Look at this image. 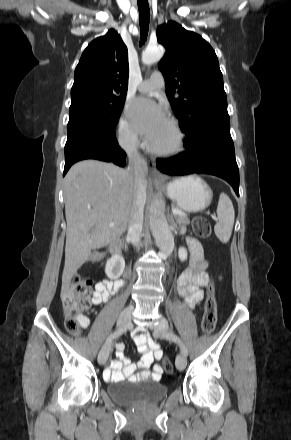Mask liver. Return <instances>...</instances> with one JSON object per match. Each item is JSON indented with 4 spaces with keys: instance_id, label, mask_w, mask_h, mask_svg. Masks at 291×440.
<instances>
[{
    "instance_id": "1",
    "label": "liver",
    "mask_w": 291,
    "mask_h": 440,
    "mask_svg": "<svg viewBox=\"0 0 291 440\" xmlns=\"http://www.w3.org/2000/svg\"><path fill=\"white\" fill-rule=\"evenodd\" d=\"M145 186L147 189V179ZM135 190L134 174L111 163L84 160L70 168L64 179L67 230L63 285L70 282L91 250L123 235Z\"/></svg>"
}]
</instances>
